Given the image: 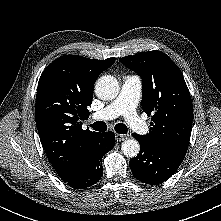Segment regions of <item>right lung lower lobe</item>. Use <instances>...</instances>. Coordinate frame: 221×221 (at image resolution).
<instances>
[{
    "label": "right lung lower lobe",
    "instance_id": "obj_1",
    "mask_svg": "<svg viewBox=\"0 0 221 221\" xmlns=\"http://www.w3.org/2000/svg\"><path fill=\"white\" fill-rule=\"evenodd\" d=\"M114 144L113 132L99 133L92 141L91 150L80 170L65 182L74 189H84L97 183L103 174L102 157L112 150Z\"/></svg>",
    "mask_w": 221,
    "mask_h": 221
}]
</instances>
